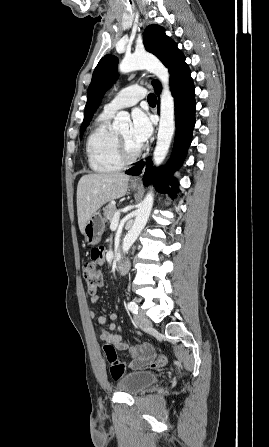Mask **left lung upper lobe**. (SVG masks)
I'll list each match as a JSON object with an SVG mask.
<instances>
[{"label":"left lung upper lobe","mask_w":269,"mask_h":447,"mask_svg":"<svg viewBox=\"0 0 269 447\" xmlns=\"http://www.w3.org/2000/svg\"><path fill=\"white\" fill-rule=\"evenodd\" d=\"M164 29L158 25H150L144 31V45L147 51L156 55L162 63L172 70L175 62L182 52L178 50L177 44L165 35ZM118 58L115 55H106L98 63L92 76V81L87 92V103L85 106L84 121L80 128V136L83 135L89 125L94 112L101 103L104 93L115 82L117 74ZM154 88L160 86L156 80L152 81Z\"/></svg>","instance_id":"obj_1"}]
</instances>
